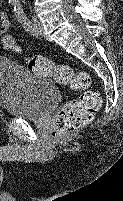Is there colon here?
<instances>
[{"label":"colon","mask_w":123,"mask_h":201,"mask_svg":"<svg viewBox=\"0 0 123 201\" xmlns=\"http://www.w3.org/2000/svg\"><path fill=\"white\" fill-rule=\"evenodd\" d=\"M3 49L19 54L20 48L11 36L2 40ZM28 69L41 76L53 77L59 84L68 85L81 94L67 102L58 113L53 129L55 139L88 125L99 111L102 99L96 89L90 88V76L86 71H75L67 65H55L49 59L33 55L27 60Z\"/></svg>","instance_id":"5ec220e1"}]
</instances>
